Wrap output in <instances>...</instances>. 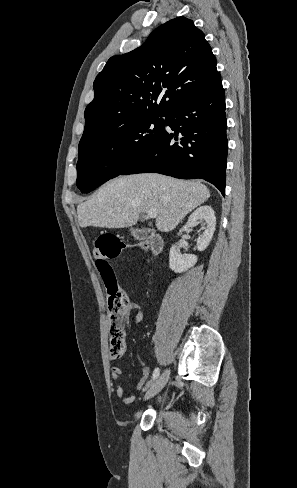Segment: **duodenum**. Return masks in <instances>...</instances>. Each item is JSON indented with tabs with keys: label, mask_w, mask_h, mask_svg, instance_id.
I'll return each mask as SVG.
<instances>
[{
	"label": "duodenum",
	"mask_w": 297,
	"mask_h": 488,
	"mask_svg": "<svg viewBox=\"0 0 297 488\" xmlns=\"http://www.w3.org/2000/svg\"><path fill=\"white\" fill-rule=\"evenodd\" d=\"M136 237L140 240L148 239L154 253H158L162 248L161 238L149 230H139Z\"/></svg>",
	"instance_id": "duodenum-1"
}]
</instances>
